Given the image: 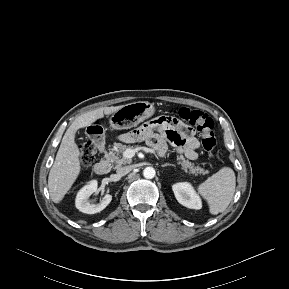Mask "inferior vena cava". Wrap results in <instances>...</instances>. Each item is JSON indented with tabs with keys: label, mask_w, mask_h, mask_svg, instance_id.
I'll return each instance as SVG.
<instances>
[{
	"label": "inferior vena cava",
	"mask_w": 289,
	"mask_h": 289,
	"mask_svg": "<svg viewBox=\"0 0 289 289\" xmlns=\"http://www.w3.org/2000/svg\"><path fill=\"white\" fill-rule=\"evenodd\" d=\"M133 166H125V167H120L117 169L116 173L118 177H123L127 175L130 171H132Z\"/></svg>",
	"instance_id": "inferior-vena-cava-1"
}]
</instances>
